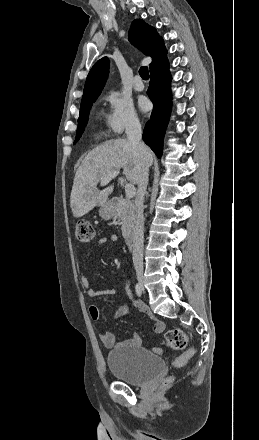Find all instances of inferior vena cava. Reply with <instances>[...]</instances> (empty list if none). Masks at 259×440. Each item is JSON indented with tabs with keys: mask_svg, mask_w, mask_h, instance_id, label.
Here are the masks:
<instances>
[{
	"mask_svg": "<svg viewBox=\"0 0 259 440\" xmlns=\"http://www.w3.org/2000/svg\"><path fill=\"white\" fill-rule=\"evenodd\" d=\"M127 140L132 143L139 154L140 173L138 178V190L135 199V226L133 229V263L136 271H143L144 249V216L143 204L148 185L149 163L147 161L148 148L141 141L142 130L138 119H131L126 127Z\"/></svg>",
	"mask_w": 259,
	"mask_h": 440,
	"instance_id": "inferior-vena-cava-1",
	"label": "inferior vena cava"
}]
</instances>
